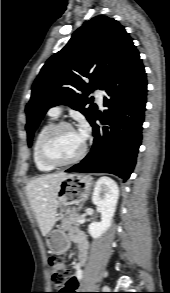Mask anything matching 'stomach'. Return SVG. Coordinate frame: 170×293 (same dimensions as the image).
Listing matches in <instances>:
<instances>
[{"mask_svg": "<svg viewBox=\"0 0 170 293\" xmlns=\"http://www.w3.org/2000/svg\"><path fill=\"white\" fill-rule=\"evenodd\" d=\"M92 186V178L83 174H67L57 191V208L61 210L71 205H79L87 200ZM48 247L57 254L69 248V240L63 230H52L47 236Z\"/></svg>", "mask_w": 170, "mask_h": 293, "instance_id": "stomach-1", "label": "stomach"}]
</instances>
